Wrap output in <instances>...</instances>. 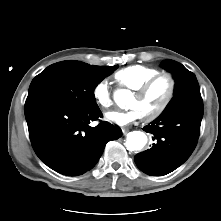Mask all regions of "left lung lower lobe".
Returning <instances> with one entry per match:
<instances>
[{"label": "left lung lower lobe", "mask_w": 221, "mask_h": 221, "mask_svg": "<svg viewBox=\"0 0 221 221\" xmlns=\"http://www.w3.org/2000/svg\"><path fill=\"white\" fill-rule=\"evenodd\" d=\"M202 117L200 97L162 113L145 126L143 130L153 134L155 143L135 156L138 168L148 175L163 176L182 165L197 144Z\"/></svg>", "instance_id": "1"}]
</instances>
